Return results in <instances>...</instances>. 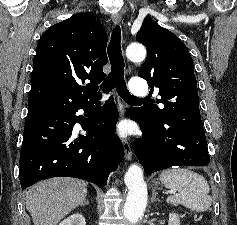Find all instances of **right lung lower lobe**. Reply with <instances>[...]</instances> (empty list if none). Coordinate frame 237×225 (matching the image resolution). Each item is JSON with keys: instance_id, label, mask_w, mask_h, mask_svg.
I'll return each mask as SVG.
<instances>
[{"instance_id": "obj_1", "label": "right lung lower lobe", "mask_w": 237, "mask_h": 225, "mask_svg": "<svg viewBox=\"0 0 237 225\" xmlns=\"http://www.w3.org/2000/svg\"><path fill=\"white\" fill-rule=\"evenodd\" d=\"M99 95L81 103L27 115L20 153L19 173L23 189L51 177H74L104 186L108 173L123 158V146L114 135L118 111L111 97L97 111ZM92 111L89 118L76 115ZM80 123L88 133L76 135Z\"/></svg>"}]
</instances>
